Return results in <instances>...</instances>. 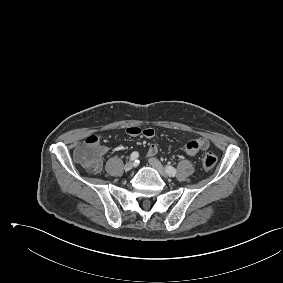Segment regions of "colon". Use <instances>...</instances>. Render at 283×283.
<instances>
[{"mask_svg":"<svg viewBox=\"0 0 283 283\" xmlns=\"http://www.w3.org/2000/svg\"><path fill=\"white\" fill-rule=\"evenodd\" d=\"M102 154L101 136L91 135L75 149V158L91 171H97L100 166ZM217 162L213 152H206L201 158L202 167L206 170L212 169Z\"/></svg>","mask_w":283,"mask_h":283,"instance_id":"5ec220e1","label":"colon"}]
</instances>
